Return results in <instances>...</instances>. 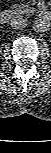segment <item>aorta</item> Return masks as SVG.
Here are the masks:
<instances>
[{"label":"aorta","instance_id":"1","mask_svg":"<svg viewBox=\"0 0 51 153\" xmlns=\"http://www.w3.org/2000/svg\"><path fill=\"white\" fill-rule=\"evenodd\" d=\"M33 29L39 33L48 31L50 29V20L44 17L37 18L34 21Z\"/></svg>","mask_w":51,"mask_h":153}]
</instances>
